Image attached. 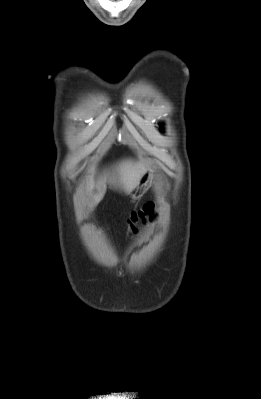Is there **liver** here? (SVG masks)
I'll return each mask as SVG.
<instances>
[{
	"label": "liver",
	"mask_w": 261,
	"mask_h": 399,
	"mask_svg": "<svg viewBox=\"0 0 261 399\" xmlns=\"http://www.w3.org/2000/svg\"><path fill=\"white\" fill-rule=\"evenodd\" d=\"M116 173L104 174L96 183L97 193L93 196L94 204H98L104 197L108 181L111 184H118L127 194L131 193L139 184L143 174L147 171V167L139 162L123 161L115 169ZM95 187V183L91 181L90 189Z\"/></svg>",
	"instance_id": "liver-1"
}]
</instances>
